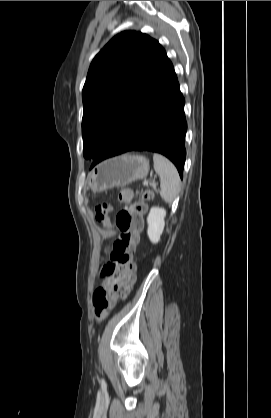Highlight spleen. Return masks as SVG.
Instances as JSON below:
<instances>
[{"instance_id": "3e777b00", "label": "spleen", "mask_w": 271, "mask_h": 418, "mask_svg": "<svg viewBox=\"0 0 271 418\" xmlns=\"http://www.w3.org/2000/svg\"><path fill=\"white\" fill-rule=\"evenodd\" d=\"M154 169L160 177V195L167 203H172L180 190V177L176 167L160 154L153 155Z\"/></svg>"}]
</instances>
